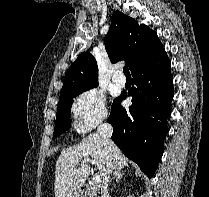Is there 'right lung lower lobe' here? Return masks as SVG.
Instances as JSON below:
<instances>
[{
    "mask_svg": "<svg viewBox=\"0 0 209 197\" xmlns=\"http://www.w3.org/2000/svg\"><path fill=\"white\" fill-rule=\"evenodd\" d=\"M170 60L165 52L144 63L132 72L136 85L128 92L132 105L125 109L116 98L108 122L113 126L112 140L122 152L152 178L164 152L168 133L167 118L173 98V77Z\"/></svg>",
    "mask_w": 209,
    "mask_h": 197,
    "instance_id": "right-lung-lower-lobe-1",
    "label": "right lung lower lobe"
}]
</instances>
